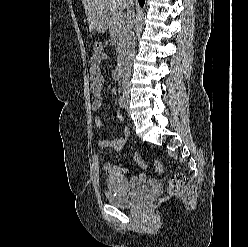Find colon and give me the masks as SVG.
<instances>
[{"label": "colon", "mask_w": 248, "mask_h": 247, "mask_svg": "<svg viewBox=\"0 0 248 247\" xmlns=\"http://www.w3.org/2000/svg\"><path fill=\"white\" fill-rule=\"evenodd\" d=\"M93 49L94 52H100L103 49L102 43L100 41L95 42L93 45ZM134 161L139 167L146 169L147 167L146 163L138 153L134 154ZM153 168L154 171L157 173L163 172L164 167L162 161L155 160L153 162ZM184 183H185V176L183 174L181 173L173 174L170 177V181H169V188H168L169 193L173 194L178 192L183 187Z\"/></svg>", "instance_id": "obj_1"}]
</instances>
